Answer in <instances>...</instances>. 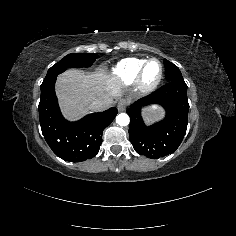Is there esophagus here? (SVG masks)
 <instances>
[{
	"instance_id": "esophagus-1",
	"label": "esophagus",
	"mask_w": 236,
	"mask_h": 236,
	"mask_svg": "<svg viewBox=\"0 0 236 236\" xmlns=\"http://www.w3.org/2000/svg\"><path fill=\"white\" fill-rule=\"evenodd\" d=\"M117 108L120 112L125 111L127 108V101L125 99L119 100V102L117 104Z\"/></svg>"
}]
</instances>
